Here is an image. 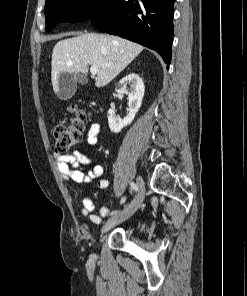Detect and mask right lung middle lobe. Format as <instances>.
<instances>
[{"instance_id": "right-lung-middle-lobe-1", "label": "right lung middle lobe", "mask_w": 247, "mask_h": 296, "mask_svg": "<svg viewBox=\"0 0 247 296\" xmlns=\"http://www.w3.org/2000/svg\"><path fill=\"white\" fill-rule=\"evenodd\" d=\"M110 0H47L44 8L46 30L60 22L77 23L105 11Z\"/></svg>"}]
</instances>
